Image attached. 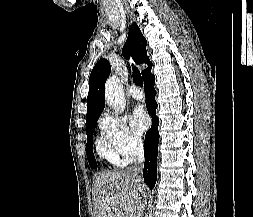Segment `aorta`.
I'll list each match as a JSON object with an SVG mask.
<instances>
[{"label": "aorta", "mask_w": 253, "mask_h": 217, "mask_svg": "<svg viewBox=\"0 0 253 217\" xmlns=\"http://www.w3.org/2000/svg\"><path fill=\"white\" fill-rule=\"evenodd\" d=\"M105 97L108 105L114 109L116 115L122 113L126 107L123 85L120 79L113 75L105 84Z\"/></svg>", "instance_id": "obj_1"}]
</instances>
